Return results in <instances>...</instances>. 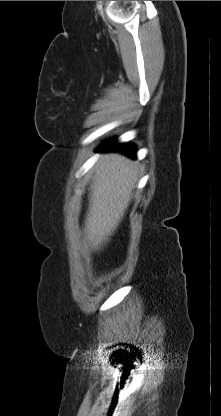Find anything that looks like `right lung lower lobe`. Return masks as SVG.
Listing matches in <instances>:
<instances>
[{"label": "right lung lower lobe", "instance_id": "obj_1", "mask_svg": "<svg viewBox=\"0 0 221 416\" xmlns=\"http://www.w3.org/2000/svg\"><path fill=\"white\" fill-rule=\"evenodd\" d=\"M98 151H120L131 157H135L136 151L133 146L128 144H116L114 141H107L98 148Z\"/></svg>", "mask_w": 221, "mask_h": 416}]
</instances>
